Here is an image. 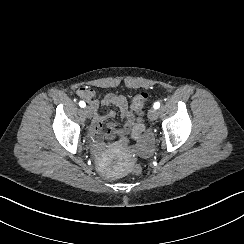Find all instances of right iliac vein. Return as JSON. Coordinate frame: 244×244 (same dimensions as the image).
Masks as SVG:
<instances>
[{"instance_id":"63e3f726","label":"right iliac vein","mask_w":244,"mask_h":244,"mask_svg":"<svg viewBox=\"0 0 244 244\" xmlns=\"http://www.w3.org/2000/svg\"><path fill=\"white\" fill-rule=\"evenodd\" d=\"M83 113H84V115H86L88 118H91L92 115H93V110H92L91 107L86 106V107L83 109Z\"/></svg>"}]
</instances>
